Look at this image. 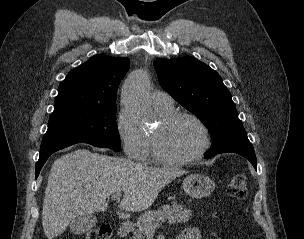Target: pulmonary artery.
Instances as JSON below:
<instances>
[{
  "mask_svg": "<svg viewBox=\"0 0 304 239\" xmlns=\"http://www.w3.org/2000/svg\"><path fill=\"white\" fill-rule=\"evenodd\" d=\"M150 103L153 106L171 107L173 106V99L166 92L154 91L150 94Z\"/></svg>",
  "mask_w": 304,
  "mask_h": 239,
  "instance_id": "1",
  "label": "pulmonary artery"
}]
</instances>
